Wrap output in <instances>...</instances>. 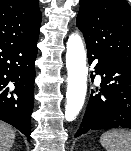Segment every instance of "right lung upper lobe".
<instances>
[{
    "mask_svg": "<svg viewBox=\"0 0 131 151\" xmlns=\"http://www.w3.org/2000/svg\"><path fill=\"white\" fill-rule=\"evenodd\" d=\"M41 16L38 0H0V44L37 39Z\"/></svg>",
    "mask_w": 131,
    "mask_h": 151,
    "instance_id": "1",
    "label": "right lung upper lobe"
}]
</instances>
